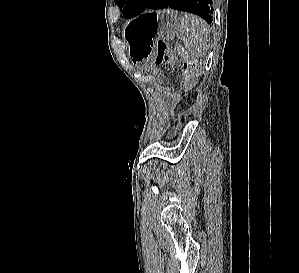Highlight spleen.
Returning a JSON list of instances; mask_svg holds the SVG:
<instances>
[{
  "label": "spleen",
  "mask_w": 299,
  "mask_h": 273,
  "mask_svg": "<svg viewBox=\"0 0 299 273\" xmlns=\"http://www.w3.org/2000/svg\"><path fill=\"white\" fill-rule=\"evenodd\" d=\"M181 28L185 33L183 42L191 56L203 59L208 51L209 26L200 17L185 13L181 17Z\"/></svg>",
  "instance_id": "1"
}]
</instances>
